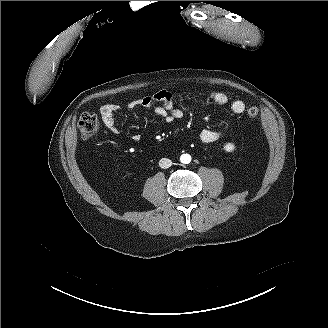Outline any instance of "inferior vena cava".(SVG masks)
Listing matches in <instances>:
<instances>
[{
	"instance_id": "602c4592",
	"label": "inferior vena cava",
	"mask_w": 328,
	"mask_h": 328,
	"mask_svg": "<svg viewBox=\"0 0 328 328\" xmlns=\"http://www.w3.org/2000/svg\"><path fill=\"white\" fill-rule=\"evenodd\" d=\"M172 165V161L168 158H162L160 161H159V166L161 168H164V169H167L169 167H171Z\"/></svg>"
}]
</instances>
